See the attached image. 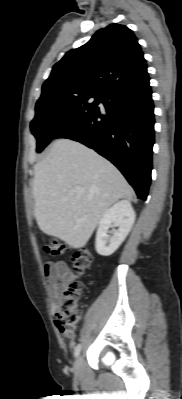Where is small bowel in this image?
Listing matches in <instances>:
<instances>
[{"label":"small bowel","mask_w":182,"mask_h":399,"mask_svg":"<svg viewBox=\"0 0 182 399\" xmlns=\"http://www.w3.org/2000/svg\"><path fill=\"white\" fill-rule=\"evenodd\" d=\"M51 299L52 312L75 280L73 271L64 261H49L43 269Z\"/></svg>","instance_id":"small-bowel-1"}]
</instances>
